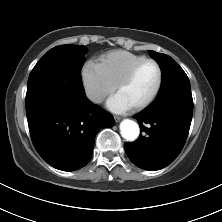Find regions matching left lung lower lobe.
<instances>
[{"label":"left lung lower lobe","instance_id":"left-lung-lower-lobe-1","mask_svg":"<svg viewBox=\"0 0 222 222\" xmlns=\"http://www.w3.org/2000/svg\"><path fill=\"white\" fill-rule=\"evenodd\" d=\"M192 113L191 93L173 92L157 98L135 115L146 135L125 143L130 161L146 170H159L173 162L187 139Z\"/></svg>","mask_w":222,"mask_h":222}]
</instances>
